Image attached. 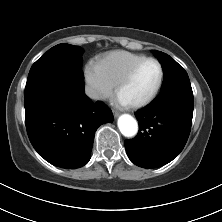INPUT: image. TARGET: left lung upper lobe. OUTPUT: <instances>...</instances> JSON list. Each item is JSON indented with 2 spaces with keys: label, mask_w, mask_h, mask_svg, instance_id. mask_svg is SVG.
Instances as JSON below:
<instances>
[{
  "label": "left lung upper lobe",
  "mask_w": 222,
  "mask_h": 222,
  "mask_svg": "<svg viewBox=\"0 0 222 222\" xmlns=\"http://www.w3.org/2000/svg\"><path fill=\"white\" fill-rule=\"evenodd\" d=\"M154 53L161 63L164 74L161 92L173 88H191L189 77L181 65L161 51L154 50Z\"/></svg>",
  "instance_id": "obj_1"
}]
</instances>
